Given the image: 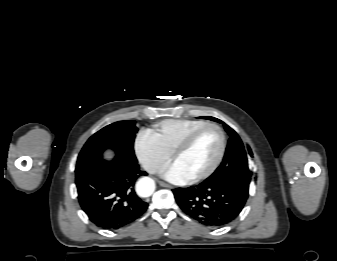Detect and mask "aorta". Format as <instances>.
<instances>
[{"instance_id": "1", "label": "aorta", "mask_w": 337, "mask_h": 261, "mask_svg": "<svg viewBox=\"0 0 337 261\" xmlns=\"http://www.w3.org/2000/svg\"><path fill=\"white\" fill-rule=\"evenodd\" d=\"M155 190V182L149 177H142L136 183V191L141 197H149Z\"/></svg>"}]
</instances>
